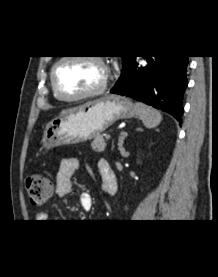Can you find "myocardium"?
Segmentation results:
<instances>
[{
  "label": "myocardium",
  "instance_id": "1",
  "mask_svg": "<svg viewBox=\"0 0 218 277\" xmlns=\"http://www.w3.org/2000/svg\"><path fill=\"white\" fill-rule=\"evenodd\" d=\"M69 59L89 60V61L95 62L97 65H99L101 67V69L103 70V78H102V81L99 84V86L90 91L84 92V93L76 95V96H67V95L63 94L57 84L56 69L62 62L69 60ZM109 77H110L109 66L105 63V61L103 60L102 57L97 56V55H76V56L64 55V56L60 57L53 64V66L51 68V72H50L51 85H52L54 93L61 100L69 101V102L87 99V98L95 97L97 95L102 94L107 89Z\"/></svg>",
  "mask_w": 218,
  "mask_h": 277
}]
</instances>
